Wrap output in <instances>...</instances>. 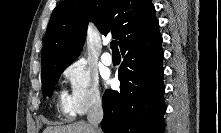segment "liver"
<instances>
[{
    "mask_svg": "<svg viewBox=\"0 0 221 133\" xmlns=\"http://www.w3.org/2000/svg\"><path fill=\"white\" fill-rule=\"evenodd\" d=\"M43 133H92V128L85 122H78L65 126H49Z\"/></svg>",
    "mask_w": 221,
    "mask_h": 133,
    "instance_id": "1",
    "label": "liver"
}]
</instances>
